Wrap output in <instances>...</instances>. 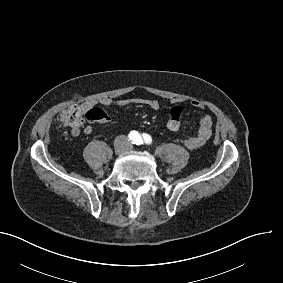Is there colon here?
I'll list each match as a JSON object with an SVG mask.
<instances>
[{
    "instance_id": "colon-1",
    "label": "colon",
    "mask_w": 283,
    "mask_h": 283,
    "mask_svg": "<svg viewBox=\"0 0 283 283\" xmlns=\"http://www.w3.org/2000/svg\"><path fill=\"white\" fill-rule=\"evenodd\" d=\"M60 127L67 128L71 134H78L87 124L85 114L82 115L75 106L65 109L58 117ZM168 130L175 132L179 129L178 114L170 115L167 122Z\"/></svg>"
}]
</instances>
